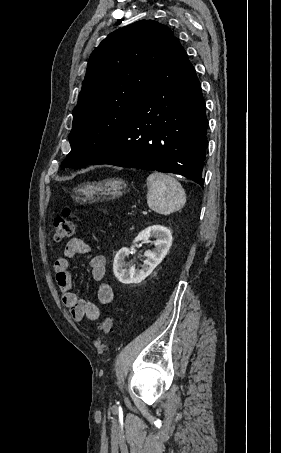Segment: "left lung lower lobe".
I'll return each mask as SVG.
<instances>
[{"label": "left lung lower lobe", "instance_id": "0a47b994", "mask_svg": "<svg viewBox=\"0 0 281 453\" xmlns=\"http://www.w3.org/2000/svg\"><path fill=\"white\" fill-rule=\"evenodd\" d=\"M207 124L196 72L174 38L166 63L138 107L90 165L175 173L203 187Z\"/></svg>", "mask_w": 281, "mask_h": 453}]
</instances>
